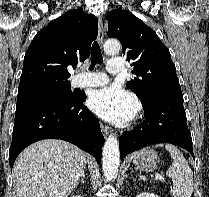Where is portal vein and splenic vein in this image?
<instances>
[{
  "mask_svg": "<svg viewBox=\"0 0 209 197\" xmlns=\"http://www.w3.org/2000/svg\"><path fill=\"white\" fill-rule=\"evenodd\" d=\"M156 179H158V180H164V177L163 176H161L160 174H156Z\"/></svg>",
  "mask_w": 209,
  "mask_h": 197,
  "instance_id": "portal-vein-and-splenic-vein-1",
  "label": "portal vein and splenic vein"
}]
</instances>
